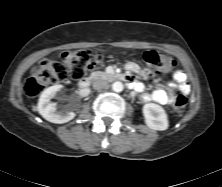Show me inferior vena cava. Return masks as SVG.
Returning a JSON list of instances; mask_svg holds the SVG:
<instances>
[{
	"instance_id": "obj_1",
	"label": "inferior vena cava",
	"mask_w": 222,
	"mask_h": 187,
	"mask_svg": "<svg viewBox=\"0 0 222 187\" xmlns=\"http://www.w3.org/2000/svg\"><path fill=\"white\" fill-rule=\"evenodd\" d=\"M93 87L96 90H102L108 87V82L103 79H98L94 82Z\"/></svg>"
}]
</instances>
